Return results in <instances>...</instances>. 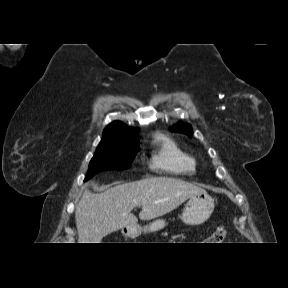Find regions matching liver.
Instances as JSON below:
<instances>
[{
    "label": "liver",
    "instance_id": "obj_1",
    "mask_svg": "<svg viewBox=\"0 0 288 288\" xmlns=\"http://www.w3.org/2000/svg\"><path fill=\"white\" fill-rule=\"evenodd\" d=\"M203 189L172 177H150L119 184L102 193L85 190L75 209L79 243H100L118 229L137 227L131 211L141 206V220L163 216Z\"/></svg>",
    "mask_w": 288,
    "mask_h": 288
}]
</instances>
